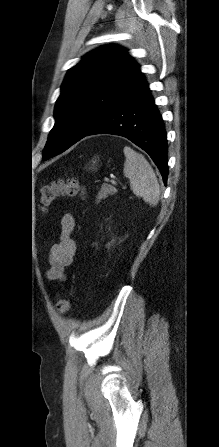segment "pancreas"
<instances>
[{
  "label": "pancreas",
  "mask_w": 219,
  "mask_h": 447,
  "mask_svg": "<svg viewBox=\"0 0 219 447\" xmlns=\"http://www.w3.org/2000/svg\"><path fill=\"white\" fill-rule=\"evenodd\" d=\"M116 192L117 190L113 186L107 184L102 185L97 195V202H100L102 199H106L109 195H113Z\"/></svg>",
  "instance_id": "pancreas-1"
}]
</instances>
